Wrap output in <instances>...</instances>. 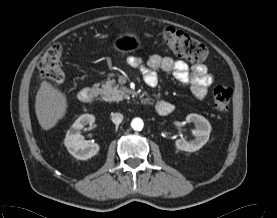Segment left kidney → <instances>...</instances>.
<instances>
[{
	"instance_id": "left-kidney-1",
	"label": "left kidney",
	"mask_w": 277,
	"mask_h": 218,
	"mask_svg": "<svg viewBox=\"0 0 277 218\" xmlns=\"http://www.w3.org/2000/svg\"><path fill=\"white\" fill-rule=\"evenodd\" d=\"M186 121L195 124V129L192 130L195 139L190 141L184 138L178 139L175 141V146L182 151L195 152L207 143L212 127L206 118L195 113L187 115Z\"/></svg>"
}]
</instances>
